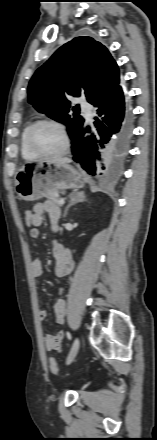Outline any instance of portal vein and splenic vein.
I'll use <instances>...</instances> for the list:
<instances>
[{
  "label": "portal vein and splenic vein",
  "mask_w": 157,
  "mask_h": 440,
  "mask_svg": "<svg viewBox=\"0 0 157 440\" xmlns=\"http://www.w3.org/2000/svg\"><path fill=\"white\" fill-rule=\"evenodd\" d=\"M59 203L61 204V205H63L64 203H65V201H64V199H59Z\"/></svg>",
  "instance_id": "1"
}]
</instances>
